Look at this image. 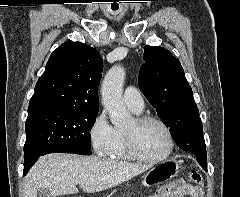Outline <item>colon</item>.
<instances>
[{"label":"colon","mask_w":240,"mask_h":197,"mask_svg":"<svg viewBox=\"0 0 240 197\" xmlns=\"http://www.w3.org/2000/svg\"><path fill=\"white\" fill-rule=\"evenodd\" d=\"M188 177H189V180L194 184L200 185L203 182L202 175L196 170L190 171ZM166 194L167 193L165 190H160L158 193V197H166Z\"/></svg>","instance_id":"obj_1"}]
</instances>
